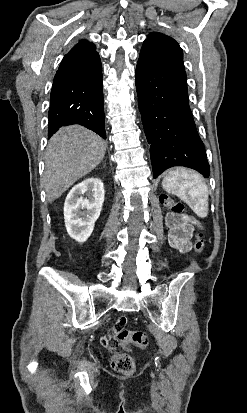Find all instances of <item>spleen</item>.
Instances as JSON below:
<instances>
[{"mask_svg": "<svg viewBox=\"0 0 247 413\" xmlns=\"http://www.w3.org/2000/svg\"><path fill=\"white\" fill-rule=\"evenodd\" d=\"M162 184L167 192L176 194L189 204L198 217H207L209 190L199 172L188 168H174L164 176Z\"/></svg>", "mask_w": 247, "mask_h": 413, "instance_id": "1", "label": "spleen"}]
</instances>
